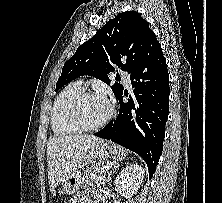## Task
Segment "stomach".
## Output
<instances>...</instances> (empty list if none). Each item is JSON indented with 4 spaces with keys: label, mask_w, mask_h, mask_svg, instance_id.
<instances>
[{
    "label": "stomach",
    "mask_w": 222,
    "mask_h": 203,
    "mask_svg": "<svg viewBox=\"0 0 222 203\" xmlns=\"http://www.w3.org/2000/svg\"><path fill=\"white\" fill-rule=\"evenodd\" d=\"M96 156L102 159L121 160L125 156V150L113 143H102L96 151ZM83 179V171L81 169L76 170L62 182L64 192L72 194L77 191L83 184Z\"/></svg>",
    "instance_id": "1"
}]
</instances>
